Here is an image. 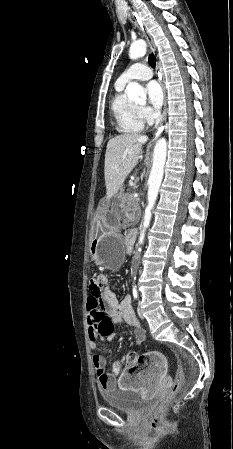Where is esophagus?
Wrapping results in <instances>:
<instances>
[{"label": "esophagus", "instance_id": "esophagus-1", "mask_svg": "<svg viewBox=\"0 0 233 449\" xmlns=\"http://www.w3.org/2000/svg\"><path fill=\"white\" fill-rule=\"evenodd\" d=\"M132 16L134 18V20L136 21V23L140 26L141 30L143 31V33L146 36L147 42H148V46L152 51H155V44H154V40L153 37L151 36L147 26L145 25V23L142 21V19L140 18V16L135 12L132 11ZM159 79H160V83L163 89V94H164V106H163V113L161 116V120H160V124L159 126L163 123V121L165 120V116H166V110H167V97H166V89L165 86L162 82V78L159 75Z\"/></svg>", "mask_w": 233, "mask_h": 449}]
</instances>
